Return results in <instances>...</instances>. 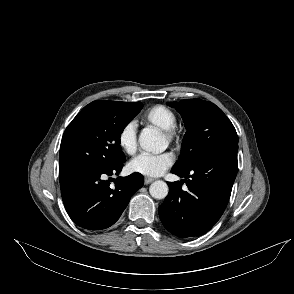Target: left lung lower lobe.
<instances>
[{
  "instance_id": "1",
  "label": "left lung lower lobe",
  "mask_w": 294,
  "mask_h": 294,
  "mask_svg": "<svg viewBox=\"0 0 294 294\" xmlns=\"http://www.w3.org/2000/svg\"><path fill=\"white\" fill-rule=\"evenodd\" d=\"M237 150L238 145H224L187 171L171 170L185 179L167 182L169 194L159 206L160 219L169 232L180 238L201 236L219 220L237 175Z\"/></svg>"
}]
</instances>
